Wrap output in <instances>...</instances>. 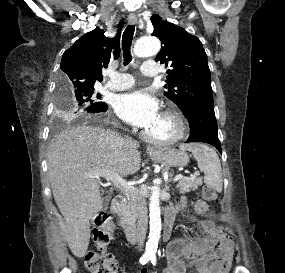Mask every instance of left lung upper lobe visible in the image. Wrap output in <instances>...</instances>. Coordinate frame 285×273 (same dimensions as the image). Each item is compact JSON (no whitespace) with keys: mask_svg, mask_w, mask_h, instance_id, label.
<instances>
[{"mask_svg":"<svg viewBox=\"0 0 285 273\" xmlns=\"http://www.w3.org/2000/svg\"><path fill=\"white\" fill-rule=\"evenodd\" d=\"M151 22L154 26L152 35L163 44L155 60L170 68L164 95L182 111L199 105H213L211 74L200 40L183 28L161 20L158 15H153Z\"/></svg>","mask_w":285,"mask_h":273,"instance_id":"5c2ea615","label":"left lung upper lobe"}]
</instances>
